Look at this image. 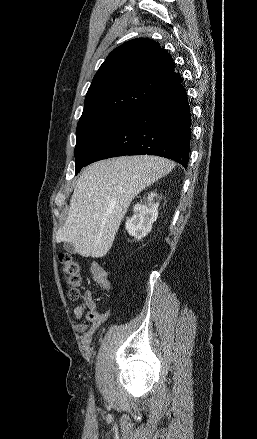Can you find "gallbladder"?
Returning <instances> with one entry per match:
<instances>
[{"mask_svg":"<svg viewBox=\"0 0 257 439\" xmlns=\"http://www.w3.org/2000/svg\"><path fill=\"white\" fill-rule=\"evenodd\" d=\"M63 248H64L67 252L74 253V246H73L71 243H69V242H64V243H63Z\"/></svg>","mask_w":257,"mask_h":439,"instance_id":"gallbladder-1","label":"gallbladder"}]
</instances>
